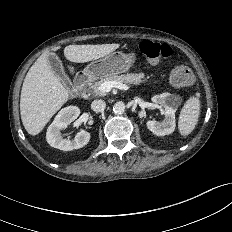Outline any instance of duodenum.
Segmentation results:
<instances>
[{
	"mask_svg": "<svg viewBox=\"0 0 232 232\" xmlns=\"http://www.w3.org/2000/svg\"><path fill=\"white\" fill-rule=\"evenodd\" d=\"M90 81V75L86 72H79L74 79L76 87L80 90L86 88Z\"/></svg>",
	"mask_w": 232,
	"mask_h": 232,
	"instance_id": "1",
	"label": "duodenum"
}]
</instances>
